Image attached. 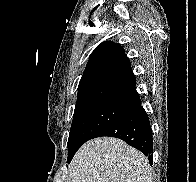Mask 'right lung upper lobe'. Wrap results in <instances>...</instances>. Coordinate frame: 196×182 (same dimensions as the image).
Returning <instances> with one entry per match:
<instances>
[{
	"mask_svg": "<svg viewBox=\"0 0 196 182\" xmlns=\"http://www.w3.org/2000/svg\"><path fill=\"white\" fill-rule=\"evenodd\" d=\"M136 78L120 44L101 43L91 54L79 82L76 108L98 102H112L136 107L140 97Z\"/></svg>",
	"mask_w": 196,
	"mask_h": 182,
	"instance_id": "obj_1",
	"label": "right lung upper lobe"
}]
</instances>
